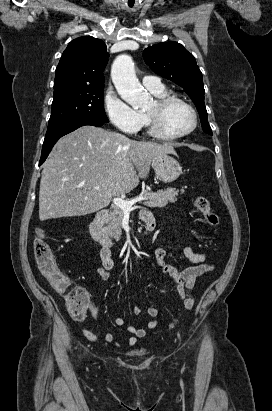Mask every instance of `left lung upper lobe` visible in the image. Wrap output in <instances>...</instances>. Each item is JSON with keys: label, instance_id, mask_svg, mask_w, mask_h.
<instances>
[{"label": "left lung upper lobe", "instance_id": "1", "mask_svg": "<svg viewBox=\"0 0 272 411\" xmlns=\"http://www.w3.org/2000/svg\"><path fill=\"white\" fill-rule=\"evenodd\" d=\"M143 58L155 73L188 93L199 112L204 132L212 135L204 103L203 77L194 56L177 42H165L145 49Z\"/></svg>", "mask_w": 272, "mask_h": 411}]
</instances>
